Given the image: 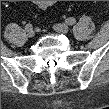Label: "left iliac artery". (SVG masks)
I'll use <instances>...</instances> for the list:
<instances>
[{
    "mask_svg": "<svg viewBox=\"0 0 109 109\" xmlns=\"http://www.w3.org/2000/svg\"><path fill=\"white\" fill-rule=\"evenodd\" d=\"M65 22H66L68 25H73V24H75L76 20H75V18H73V17H69V18H67V19L65 20Z\"/></svg>",
    "mask_w": 109,
    "mask_h": 109,
    "instance_id": "obj_1",
    "label": "left iliac artery"
}]
</instances>
